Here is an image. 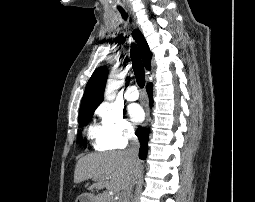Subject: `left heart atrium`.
<instances>
[{"label": "left heart atrium", "mask_w": 255, "mask_h": 202, "mask_svg": "<svg viewBox=\"0 0 255 202\" xmlns=\"http://www.w3.org/2000/svg\"><path fill=\"white\" fill-rule=\"evenodd\" d=\"M128 113L131 120L135 123H139L144 118V111L142 107L138 104H131L128 107Z\"/></svg>", "instance_id": "obj_1"}]
</instances>
